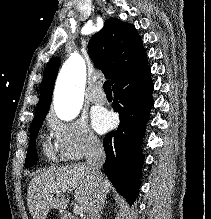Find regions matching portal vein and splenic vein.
Returning <instances> with one entry per match:
<instances>
[{
  "mask_svg": "<svg viewBox=\"0 0 211 219\" xmlns=\"http://www.w3.org/2000/svg\"><path fill=\"white\" fill-rule=\"evenodd\" d=\"M60 196V195H59ZM63 196V195H62ZM82 212V210H81V208H79V206L78 205H75L74 206V213L75 214H80Z\"/></svg>",
  "mask_w": 211,
  "mask_h": 219,
  "instance_id": "obj_1",
  "label": "portal vein and splenic vein"
}]
</instances>
